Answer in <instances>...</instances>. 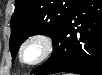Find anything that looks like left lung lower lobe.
<instances>
[{
    "mask_svg": "<svg viewBox=\"0 0 102 75\" xmlns=\"http://www.w3.org/2000/svg\"><path fill=\"white\" fill-rule=\"evenodd\" d=\"M52 41L51 57L32 74L102 75V0H81Z\"/></svg>",
    "mask_w": 102,
    "mask_h": 75,
    "instance_id": "left-lung-lower-lobe-1",
    "label": "left lung lower lobe"
}]
</instances>
